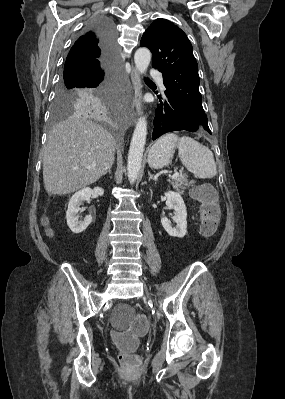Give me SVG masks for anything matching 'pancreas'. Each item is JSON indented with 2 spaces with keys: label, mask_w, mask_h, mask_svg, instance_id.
I'll list each match as a JSON object with an SVG mask.
<instances>
[{
  "label": "pancreas",
  "mask_w": 285,
  "mask_h": 399,
  "mask_svg": "<svg viewBox=\"0 0 285 399\" xmlns=\"http://www.w3.org/2000/svg\"><path fill=\"white\" fill-rule=\"evenodd\" d=\"M170 184L176 189L178 192L182 193V189H186L191 186V183L186 178H178L174 181H171Z\"/></svg>",
  "instance_id": "cf45deb5"
}]
</instances>
